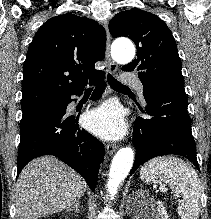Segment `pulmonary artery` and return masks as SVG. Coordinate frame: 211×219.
<instances>
[{"instance_id": "e3ab8cb5", "label": "pulmonary artery", "mask_w": 211, "mask_h": 219, "mask_svg": "<svg viewBox=\"0 0 211 219\" xmlns=\"http://www.w3.org/2000/svg\"><path fill=\"white\" fill-rule=\"evenodd\" d=\"M123 81L126 84L133 85L135 89L138 91L139 95L143 97V84L137 77L131 76L129 74H124Z\"/></svg>"}]
</instances>
